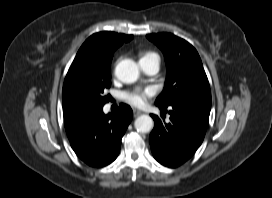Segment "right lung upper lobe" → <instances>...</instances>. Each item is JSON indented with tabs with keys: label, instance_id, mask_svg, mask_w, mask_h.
I'll return each mask as SVG.
<instances>
[{
	"label": "right lung upper lobe",
	"instance_id": "cb5924a9",
	"mask_svg": "<svg viewBox=\"0 0 272 198\" xmlns=\"http://www.w3.org/2000/svg\"><path fill=\"white\" fill-rule=\"evenodd\" d=\"M133 35L99 32L90 36L79 49L65 77L62 92L64 118L85 109L82 86L101 72L111 71L114 51Z\"/></svg>",
	"mask_w": 272,
	"mask_h": 198
}]
</instances>
